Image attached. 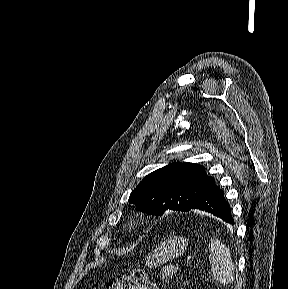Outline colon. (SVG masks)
<instances>
[{
    "instance_id": "5ec220e1",
    "label": "colon",
    "mask_w": 288,
    "mask_h": 289,
    "mask_svg": "<svg viewBox=\"0 0 288 289\" xmlns=\"http://www.w3.org/2000/svg\"><path fill=\"white\" fill-rule=\"evenodd\" d=\"M107 289H158L145 270L135 269L127 275H121L109 283Z\"/></svg>"
}]
</instances>
